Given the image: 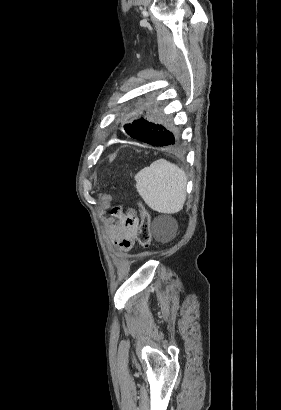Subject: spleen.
Listing matches in <instances>:
<instances>
[{"label": "spleen", "instance_id": "1", "mask_svg": "<svg viewBox=\"0 0 281 410\" xmlns=\"http://www.w3.org/2000/svg\"><path fill=\"white\" fill-rule=\"evenodd\" d=\"M135 181L137 192L151 209L164 214L182 210L187 176L177 165L159 159L139 171Z\"/></svg>", "mask_w": 281, "mask_h": 410}]
</instances>
